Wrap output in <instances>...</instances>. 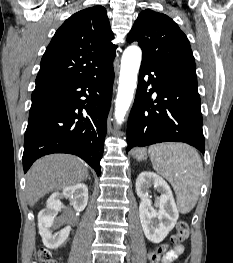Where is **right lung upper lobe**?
Wrapping results in <instances>:
<instances>
[{"label":"right lung upper lobe","mask_w":233,"mask_h":263,"mask_svg":"<svg viewBox=\"0 0 233 263\" xmlns=\"http://www.w3.org/2000/svg\"><path fill=\"white\" fill-rule=\"evenodd\" d=\"M102 6L81 10L56 31L42 57L35 89L84 79L113 62L117 46Z\"/></svg>","instance_id":"obj_1"}]
</instances>
